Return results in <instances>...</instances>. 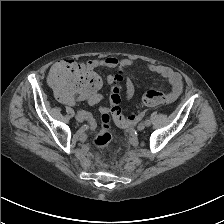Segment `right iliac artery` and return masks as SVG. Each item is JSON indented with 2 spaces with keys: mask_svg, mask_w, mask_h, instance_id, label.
I'll return each instance as SVG.
<instances>
[{
  "mask_svg": "<svg viewBox=\"0 0 224 224\" xmlns=\"http://www.w3.org/2000/svg\"><path fill=\"white\" fill-rule=\"evenodd\" d=\"M78 114H80L84 119L90 120L91 119V115L85 111H78Z\"/></svg>",
  "mask_w": 224,
  "mask_h": 224,
  "instance_id": "right-iliac-artery-1",
  "label": "right iliac artery"
}]
</instances>
